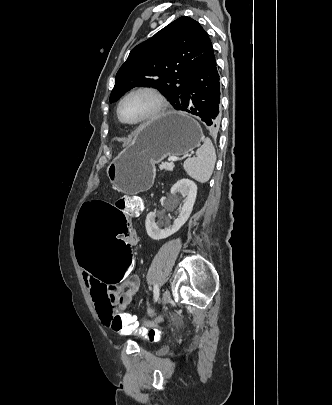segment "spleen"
I'll return each instance as SVG.
<instances>
[{"instance_id": "1", "label": "spleen", "mask_w": 332, "mask_h": 405, "mask_svg": "<svg viewBox=\"0 0 332 405\" xmlns=\"http://www.w3.org/2000/svg\"><path fill=\"white\" fill-rule=\"evenodd\" d=\"M216 153L210 138H205L203 145L197 149L196 157L185 160L183 167L187 175L194 180L207 182L214 170Z\"/></svg>"}]
</instances>
